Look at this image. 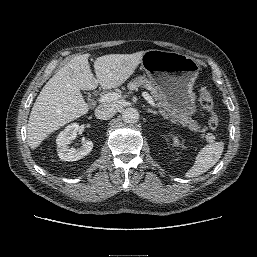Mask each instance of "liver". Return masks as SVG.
Masks as SVG:
<instances>
[{
	"label": "liver",
	"mask_w": 257,
	"mask_h": 257,
	"mask_svg": "<svg viewBox=\"0 0 257 257\" xmlns=\"http://www.w3.org/2000/svg\"><path fill=\"white\" fill-rule=\"evenodd\" d=\"M144 51L133 54H109L94 62L96 77L91 72L88 54L71 59L44 85L28 121L27 141L36 149L51 133L85 115L89 106L80 90L121 86L141 63Z\"/></svg>",
	"instance_id": "1"
}]
</instances>
